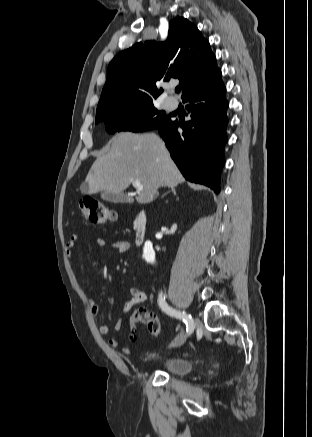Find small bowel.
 <instances>
[{
    "label": "small bowel",
    "instance_id": "c3829d8e",
    "mask_svg": "<svg viewBox=\"0 0 312 437\" xmlns=\"http://www.w3.org/2000/svg\"><path fill=\"white\" fill-rule=\"evenodd\" d=\"M79 238H80V234L75 233L71 236L70 240L66 243L65 252L69 258H71L73 256V250H74L76 242L79 240ZM96 243L100 247H105L108 245L107 241L103 238H98L96 240ZM109 247L118 253H125L129 249V243L125 240H117V241L110 243ZM129 292H130V298L127 301H125L122 305V312L123 313L130 312L134 307L144 303L147 299V294L144 291L138 289L137 287H131ZM89 306H90L91 313L93 315L99 314L100 306L95 300L90 299ZM122 323H123V319H119L115 323L114 329L116 331H119L122 327ZM109 331H110V328H109L108 324L103 323L99 326V333L101 335H107L109 333ZM108 343L110 346H112L114 348L119 347V341L115 338H109ZM124 351L126 353H130L129 349H124Z\"/></svg>",
    "mask_w": 312,
    "mask_h": 437
}]
</instances>
